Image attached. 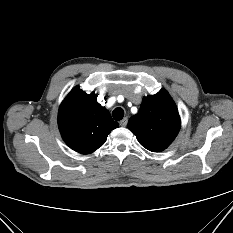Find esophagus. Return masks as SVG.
Wrapping results in <instances>:
<instances>
[{
    "label": "esophagus",
    "mask_w": 233,
    "mask_h": 233,
    "mask_svg": "<svg viewBox=\"0 0 233 233\" xmlns=\"http://www.w3.org/2000/svg\"><path fill=\"white\" fill-rule=\"evenodd\" d=\"M119 123L121 126L125 127L128 123V118L127 117L123 118Z\"/></svg>",
    "instance_id": "34e87169"
}]
</instances>
